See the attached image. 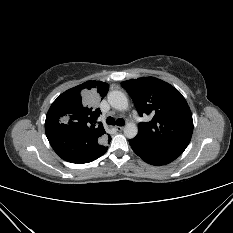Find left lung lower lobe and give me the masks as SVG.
<instances>
[{"label": "left lung lower lobe", "instance_id": "left-lung-lower-lobe-1", "mask_svg": "<svg viewBox=\"0 0 233 233\" xmlns=\"http://www.w3.org/2000/svg\"><path fill=\"white\" fill-rule=\"evenodd\" d=\"M129 143L133 151L151 165H165L180 156L179 153L152 147L138 138L130 139Z\"/></svg>", "mask_w": 233, "mask_h": 233}]
</instances>
